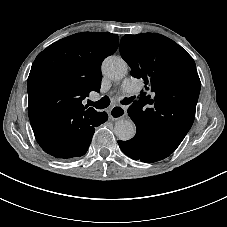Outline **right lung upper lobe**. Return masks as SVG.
<instances>
[{"label":"right lung upper lobe","mask_w":227,"mask_h":227,"mask_svg":"<svg viewBox=\"0 0 227 227\" xmlns=\"http://www.w3.org/2000/svg\"><path fill=\"white\" fill-rule=\"evenodd\" d=\"M119 38L109 32H81L63 38L38 54L28 77V114L31 124L89 114L105 116L82 101L99 91L101 64L118 48Z\"/></svg>","instance_id":"1"}]
</instances>
